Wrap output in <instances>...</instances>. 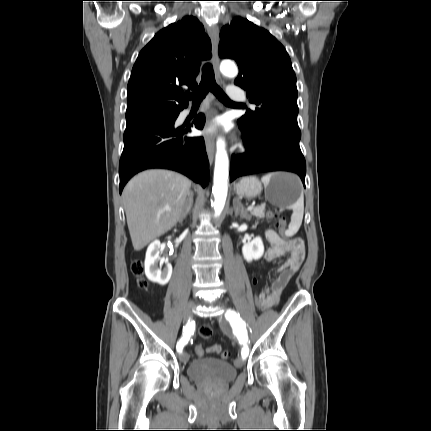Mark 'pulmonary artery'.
<instances>
[{"label": "pulmonary artery", "instance_id": "e3ab8cb5", "mask_svg": "<svg viewBox=\"0 0 431 431\" xmlns=\"http://www.w3.org/2000/svg\"><path fill=\"white\" fill-rule=\"evenodd\" d=\"M227 95L232 101H244L245 96L243 91L234 85H229L227 87Z\"/></svg>", "mask_w": 431, "mask_h": 431}]
</instances>
